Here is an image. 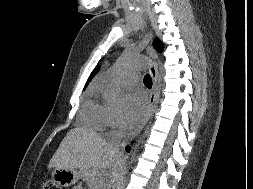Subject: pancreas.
Masks as SVG:
<instances>
[{"label":"pancreas","instance_id":"cf45deb5","mask_svg":"<svg viewBox=\"0 0 253 189\" xmlns=\"http://www.w3.org/2000/svg\"><path fill=\"white\" fill-rule=\"evenodd\" d=\"M81 178L83 181H85L87 184L94 186L95 188H100L103 185V180L93 169L90 168H82L81 169Z\"/></svg>","mask_w":253,"mask_h":189}]
</instances>
